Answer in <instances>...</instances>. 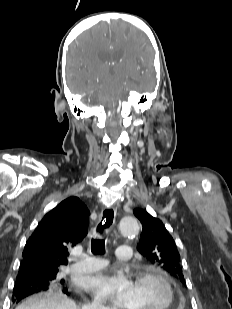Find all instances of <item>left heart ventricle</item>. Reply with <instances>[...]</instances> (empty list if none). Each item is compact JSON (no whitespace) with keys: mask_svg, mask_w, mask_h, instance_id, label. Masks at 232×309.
<instances>
[{"mask_svg":"<svg viewBox=\"0 0 232 309\" xmlns=\"http://www.w3.org/2000/svg\"><path fill=\"white\" fill-rule=\"evenodd\" d=\"M164 287L153 279L133 284L132 301L128 309H161L166 303Z\"/></svg>","mask_w":232,"mask_h":309,"instance_id":"left-heart-ventricle-1","label":"left heart ventricle"}]
</instances>
